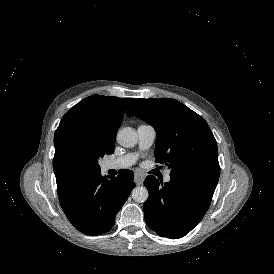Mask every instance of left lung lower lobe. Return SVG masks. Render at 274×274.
Returning <instances> with one entry per match:
<instances>
[{
  "label": "left lung lower lobe",
  "mask_w": 274,
  "mask_h": 274,
  "mask_svg": "<svg viewBox=\"0 0 274 274\" xmlns=\"http://www.w3.org/2000/svg\"><path fill=\"white\" fill-rule=\"evenodd\" d=\"M171 176L168 183L147 176L149 197L144 203L147 225L158 235L178 239L188 234L208 210L217 181ZM161 182V183H160Z\"/></svg>",
  "instance_id": "1"
}]
</instances>
